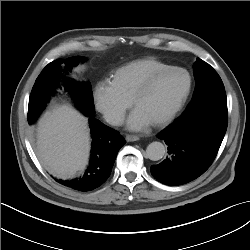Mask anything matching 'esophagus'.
I'll list each match as a JSON object with an SVG mask.
<instances>
[{"label":"esophagus","instance_id":"obj_1","mask_svg":"<svg viewBox=\"0 0 250 250\" xmlns=\"http://www.w3.org/2000/svg\"><path fill=\"white\" fill-rule=\"evenodd\" d=\"M125 139L127 142H134V141H138L139 137L136 135H126Z\"/></svg>","mask_w":250,"mask_h":250}]
</instances>
